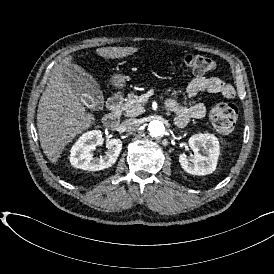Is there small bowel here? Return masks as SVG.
Here are the masks:
<instances>
[{
    "instance_id": "obj_1",
    "label": "small bowel",
    "mask_w": 274,
    "mask_h": 274,
    "mask_svg": "<svg viewBox=\"0 0 274 274\" xmlns=\"http://www.w3.org/2000/svg\"><path fill=\"white\" fill-rule=\"evenodd\" d=\"M201 92L217 93L225 99H233L236 96V90L232 84L216 77L200 76L192 79L186 89L187 96L194 99ZM166 108L174 114L175 124L179 127L187 125L191 119L204 118L207 111L205 104L202 102H196L185 107L174 99L167 100Z\"/></svg>"
}]
</instances>
